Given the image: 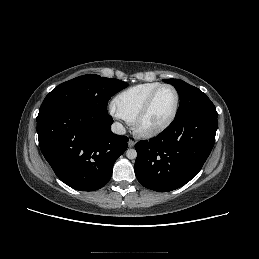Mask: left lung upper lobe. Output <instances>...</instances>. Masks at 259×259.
<instances>
[{"mask_svg":"<svg viewBox=\"0 0 259 259\" xmlns=\"http://www.w3.org/2000/svg\"><path fill=\"white\" fill-rule=\"evenodd\" d=\"M163 81L172 84L179 94L180 105L175 118L193 112L217 114L214 104L207 95L198 88L180 79H163Z\"/></svg>","mask_w":259,"mask_h":259,"instance_id":"5c2ea615","label":"left lung upper lobe"}]
</instances>
